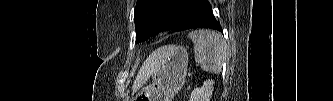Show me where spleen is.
Segmentation results:
<instances>
[{"instance_id":"1","label":"spleen","mask_w":333,"mask_h":101,"mask_svg":"<svg viewBox=\"0 0 333 101\" xmlns=\"http://www.w3.org/2000/svg\"><path fill=\"white\" fill-rule=\"evenodd\" d=\"M188 37L194 43L195 61L202 70L221 72L228 55V46L222 36L215 31L198 30L189 33Z\"/></svg>"}]
</instances>
